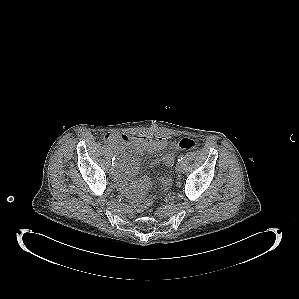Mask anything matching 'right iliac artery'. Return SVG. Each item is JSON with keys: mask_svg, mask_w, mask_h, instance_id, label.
Wrapping results in <instances>:
<instances>
[{"mask_svg": "<svg viewBox=\"0 0 299 299\" xmlns=\"http://www.w3.org/2000/svg\"><path fill=\"white\" fill-rule=\"evenodd\" d=\"M115 157L112 158V165L114 164Z\"/></svg>", "mask_w": 299, "mask_h": 299, "instance_id": "right-iliac-artery-1", "label": "right iliac artery"}]
</instances>
